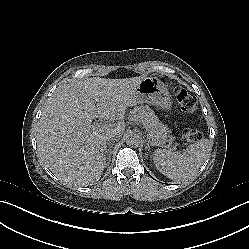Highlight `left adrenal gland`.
Here are the masks:
<instances>
[{
  "instance_id": "left-adrenal-gland-1",
  "label": "left adrenal gland",
  "mask_w": 249,
  "mask_h": 249,
  "mask_svg": "<svg viewBox=\"0 0 249 249\" xmlns=\"http://www.w3.org/2000/svg\"><path fill=\"white\" fill-rule=\"evenodd\" d=\"M147 148H150L149 144H148Z\"/></svg>"
}]
</instances>
